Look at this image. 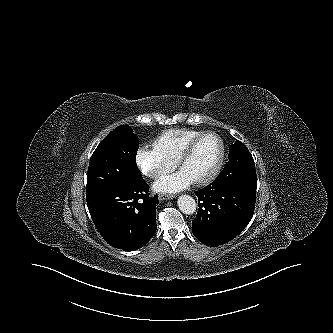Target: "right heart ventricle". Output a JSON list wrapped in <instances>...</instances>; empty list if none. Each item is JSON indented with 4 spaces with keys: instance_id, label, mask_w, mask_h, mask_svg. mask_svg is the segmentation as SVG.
<instances>
[{
    "instance_id": "e07e8e85",
    "label": "right heart ventricle",
    "mask_w": 333,
    "mask_h": 333,
    "mask_svg": "<svg viewBox=\"0 0 333 333\" xmlns=\"http://www.w3.org/2000/svg\"><path fill=\"white\" fill-rule=\"evenodd\" d=\"M201 133L191 129L167 130L154 140L153 147L164 157L176 162L186 145Z\"/></svg>"
}]
</instances>
